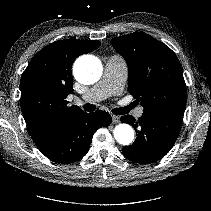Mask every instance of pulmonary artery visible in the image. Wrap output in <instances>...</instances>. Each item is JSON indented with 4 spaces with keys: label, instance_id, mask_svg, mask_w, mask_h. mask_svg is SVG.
Returning a JSON list of instances; mask_svg holds the SVG:
<instances>
[{
    "label": "pulmonary artery",
    "instance_id": "e3ab8cb5",
    "mask_svg": "<svg viewBox=\"0 0 211 211\" xmlns=\"http://www.w3.org/2000/svg\"><path fill=\"white\" fill-rule=\"evenodd\" d=\"M127 78V65L119 56H111L104 67L103 79L99 85L89 90L83 97V100L94 99L101 101L107 97L118 94L123 89ZM143 108L139 107L135 111L136 117L143 115Z\"/></svg>",
    "mask_w": 211,
    "mask_h": 211
}]
</instances>
